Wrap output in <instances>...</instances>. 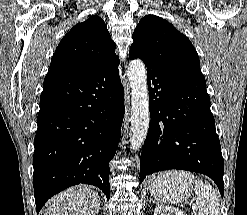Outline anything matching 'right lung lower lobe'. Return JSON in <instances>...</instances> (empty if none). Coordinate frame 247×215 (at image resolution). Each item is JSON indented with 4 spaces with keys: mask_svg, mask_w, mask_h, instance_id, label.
I'll list each match as a JSON object with an SVG mask.
<instances>
[{
    "mask_svg": "<svg viewBox=\"0 0 247 215\" xmlns=\"http://www.w3.org/2000/svg\"><path fill=\"white\" fill-rule=\"evenodd\" d=\"M118 65L113 61L83 77L47 73L34 140L37 213L53 195L79 183L97 186L110 198L109 162L124 116Z\"/></svg>",
    "mask_w": 247,
    "mask_h": 215,
    "instance_id": "obj_1",
    "label": "right lung lower lobe"
}]
</instances>
